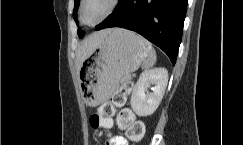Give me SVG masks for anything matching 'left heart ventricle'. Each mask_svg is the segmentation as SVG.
Wrapping results in <instances>:
<instances>
[{
  "label": "left heart ventricle",
  "instance_id": "1",
  "mask_svg": "<svg viewBox=\"0 0 243 145\" xmlns=\"http://www.w3.org/2000/svg\"><path fill=\"white\" fill-rule=\"evenodd\" d=\"M110 0H87L83 10V20L87 24L94 23L106 11Z\"/></svg>",
  "mask_w": 243,
  "mask_h": 145
}]
</instances>
